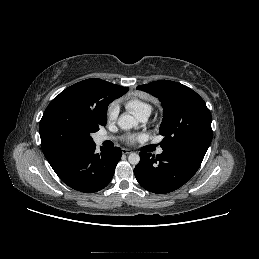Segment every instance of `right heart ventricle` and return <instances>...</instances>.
<instances>
[{"mask_svg": "<svg viewBox=\"0 0 259 259\" xmlns=\"http://www.w3.org/2000/svg\"><path fill=\"white\" fill-rule=\"evenodd\" d=\"M127 108L136 116L143 113L151 111V106L149 103L142 101L140 99H131L127 102Z\"/></svg>", "mask_w": 259, "mask_h": 259, "instance_id": "1", "label": "right heart ventricle"}]
</instances>
